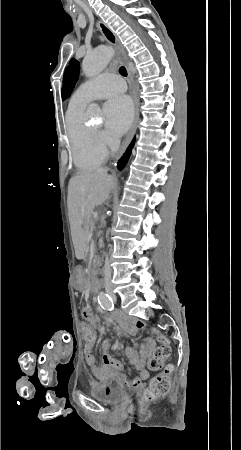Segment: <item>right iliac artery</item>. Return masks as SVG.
<instances>
[{
  "mask_svg": "<svg viewBox=\"0 0 241 450\" xmlns=\"http://www.w3.org/2000/svg\"><path fill=\"white\" fill-rule=\"evenodd\" d=\"M98 302L103 309L111 311L114 308L112 298L105 292H100L98 295Z\"/></svg>",
  "mask_w": 241,
  "mask_h": 450,
  "instance_id": "obj_1",
  "label": "right iliac artery"
}]
</instances>
